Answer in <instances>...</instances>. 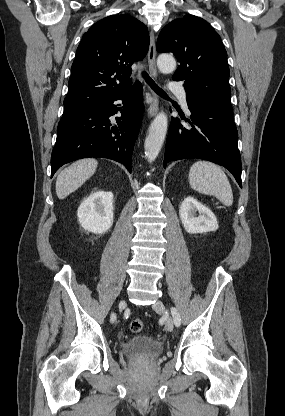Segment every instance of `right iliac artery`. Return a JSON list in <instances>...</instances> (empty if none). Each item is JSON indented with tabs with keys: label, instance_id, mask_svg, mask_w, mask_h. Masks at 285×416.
<instances>
[{
	"label": "right iliac artery",
	"instance_id": "1",
	"mask_svg": "<svg viewBox=\"0 0 285 416\" xmlns=\"http://www.w3.org/2000/svg\"><path fill=\"white\" fill-rule=\"evenodd\" d=\"M115 319H116V316H115V314L113 313L112 315H111V322H114L115 321Z\"/></svg>",
	"mask_w": 285,
	"mask_h": 416
}]
</instances>
